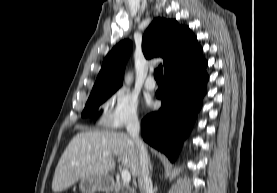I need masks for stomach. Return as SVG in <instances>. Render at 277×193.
I'll return each instance as SVG.
<instances>
[{
	"instance_id": "stomach-1",
	"label": "stomach",
	"mask_w": 277,
	"mask_h": 193,
	"mask_svg": "<svg viewBox=\"0 0 277 193\" xmlns=\"http://www.w3.org/2000/svg\"><path fill=\"white\" fill-rule=\"evenodd\" d=\"M112 186L113 180L108 175L84 177L79 184L82 193L109 192Z\"/></svg>"
}]
</instances>
